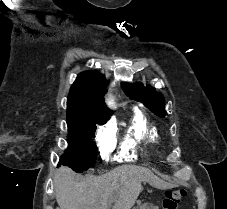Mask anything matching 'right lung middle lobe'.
Listing matches in <instances>:
<instances>
[{"instance_id":"obj_1","label":"right lung middle lobe","mask_w":227,"mask_h":209,"mask_svg":"<svg viewBox=\"0 0 227 209\" xmlns=\"http://www.w3.org/2000/svg\"><path fill=\"white\" fill-rule=\"evenodd\" d=\"M107 120L108 118L98 116L67 119L68 149L60 158L59 165L69 166L78 173L94 167L97 147L92 137L95 136L97 125H102Z\"/></svg>"}]
</instances>
